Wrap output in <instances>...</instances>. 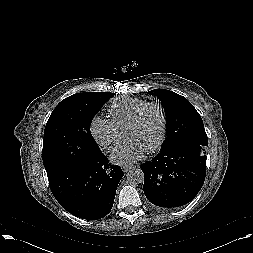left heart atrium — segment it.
<instances>
[{"instance_id": "obj_1", "label": "left heart atrium", "mask_w": 253, "mask_h": 253, "mask_svg": "<svg viewBox=\"0 0 253 253\" xmlns=\"http://www.w3.org/2000/svg\"><path fill=\"white\" fill-rule=\"evenodd\" d=\"M146 152L142 144L128 139L113 152L112 159L119 164H132L141 159Z\"/></svg>"}]
</instances>
